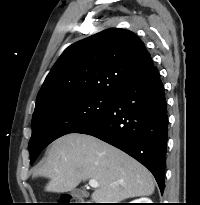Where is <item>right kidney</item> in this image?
I'll return each instance as SVG.
<instances>
[{"instance_id":"ca27d5eb","label":"right kidney","mask_w":200,"mask_h":205,"mask_svg":"<svg viewBox=\"0 0 200 205\" xmlns=\"http://www.w3.org/2000/svg\"><path fill=\"white\" fill-rule=\"evenodd\" d=\"M130 203H152V201L150 198L142 197V198L136 199L134 201H131Z\"/></svg>"}]
</instances>
